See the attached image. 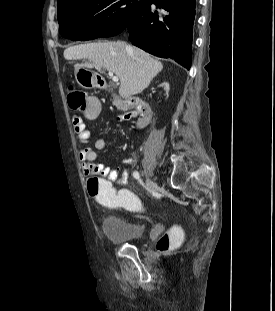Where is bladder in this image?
<instances>
[{"mask_svg":"<svg viewBox=\"0 0 275 311\" xmlns=\"http://www.w3.org/2000/svg\"><path fill=\"white\" fill-rule=\"evenodd\" d=\"M102 227L105 235L117 243L135 241L142 235V228L138 223L127 221L117 215H106Z\"/></svg>","mask_w":275,"mask_h":311,"instance_id":"31cf9c89","label":"bladder"}]
</instances>
